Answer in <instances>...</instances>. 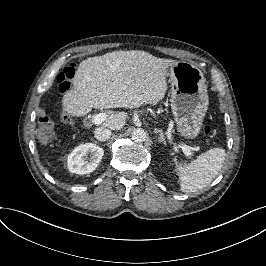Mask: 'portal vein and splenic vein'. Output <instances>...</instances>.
Masks as SVG:
<instances>
[{
    "label": "portal vein and splenic vein",
    "mask_w": 266,
    "mask_h": 266,
    "mask_svg": "<svg viewBox=\"0 0 266 266\" xmlns=\"http://www.w3.org/2000/svg\"><path fill=\"white\" fill-rule=\"evenodd\" d=\"M104 117H105V116H104L103 114H95V115L93 116V123L96 124V125L102 123V122L104 121ZM183 152H184V154H185L187 157H191V156H193V153H192V151H191V148L188 147V146H184V147H183Z\"/></svg>",
    "instance_id": "1"
}]
</instances>
